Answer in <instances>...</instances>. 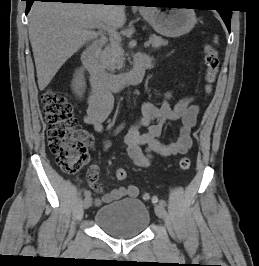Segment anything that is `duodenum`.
<instances>
[{
    "label": "duodenum",
    "mask_w": 259,
    "mask_h": 266,
    "mask_svg": "<svg viewBox=\"0 0 259 266\" xmlns=\"http://www.w3.org/2000/svg\"><path fill=\"white\" fill-rule=\"evenodd\" d=\"M104 43L105 37H100L90 44L82 54V62L90 74L92 84L101 90L116 91L126 85L141 83L149 62L138 56L131 71L122 74L109 73L98 60L99 52Z\"/></svg>",
    "instance_id": "410a0bca"
}]
</instances>
